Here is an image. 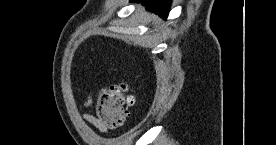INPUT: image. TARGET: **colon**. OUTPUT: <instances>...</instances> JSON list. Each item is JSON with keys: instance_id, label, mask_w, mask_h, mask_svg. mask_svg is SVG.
Returning <instances> with one entry per match:
<instances>
[{"instance_id": "obj_1", "label": "colon", "mask_w": 276, "mask_h": 145, "mask_svg": "<svg viewBox=\"0 0 276 145\" xmlns=\"http://www.w3.org/2000/svg\"><path fill=\"white\" fill-rule=\"evenodd\" d=\"M95 110L100 121L107 127L118 128L125 121L128 110L134 104L126 84L103 86L96 92Z\"/></svg>"}]
</instances>
